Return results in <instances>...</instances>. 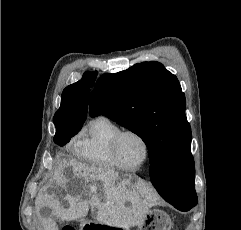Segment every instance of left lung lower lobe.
<instances>
[{
    "instance_id": "obj_1",
    "label": "left lung lower lobe",
    "mask_w": 241,
    "mask_h": 230,
    "mask_svg": "<svg viewBox=\"0 0 241 230\" xmlns=\"http://www.w3.org/2000/svg\"><path fill=\"white\" fill-rule=\"evenodd\" d=\"M150 179L159 194L163 197L162 188L166 182V166L163 160L154 159L150 161ZM166 201L181 211H188L197 204V199L192 203H182L170 199Z\"/></svg>"
}]
</instances>
